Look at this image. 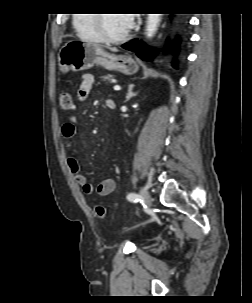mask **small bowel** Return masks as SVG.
<instances>
[{"instance_id":"c3829d8e","label":"small bowel","mask_w":252,"mask_h":303,"mask_svg":"<svg viewBox=\"0 0 252 303\" xmlns=\"http://www.w3.org/2000/svg\"><path fill=\"white\" fill-rule=\"evenodd\" d=\"M95 82V77L92 73H84L81 77V83L77 92L78 100L83 102L87 100L90 91ZM112 99H107L106 104ZM114 102V101H113ZM77 132L76 119L73 116H69L67 121L62 125V136L65 141V146L68 149H72V141ZM68 169L73 177V180L81 187L85 195L97 194L98 196H107L111 194L116 188V182L113 178L103 179L96 187L88 182L86 176L81 172L78 161L69 156L66 160Z\"/></svg>"}]
</instances>
